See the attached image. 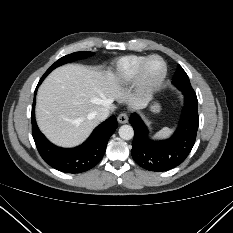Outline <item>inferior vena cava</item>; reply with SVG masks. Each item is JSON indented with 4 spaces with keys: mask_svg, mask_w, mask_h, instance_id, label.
<instances>
[{
    "mask_svg": "<svg viewBox=\"0 0 233 233\" xmlns=\"http://www.w3.org/2000/svg\"><path fill=\"white\" fill-rule=\"evenodd\" d=\"M109 109L106 107L100 108L97 112L94 113V117L99 121L105 120L109 116Z\"/></svg>",
    "mask_w": 233,
    "mask_h": 233,
    "instance_id": "obj_1",
    "label": "inferior vena cava"
}]
</instances>
